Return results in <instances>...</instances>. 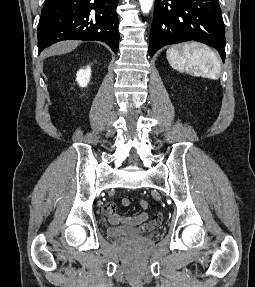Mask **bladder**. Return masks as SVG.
Here are the masks:
<instances>
[{"label": "bladder", "instance_id": "31cf9c89", "mask_svg": "<svg viewBox=\"0 0 255 287\" xmlns=\"http://www.w3.org/2000/svg\"><path fill=\"white\" fill-rule=\"evenodd\" d=\"M146 231L147 229L140 227L116 226L108 229V235L111 237L135 236L144 234Z\"/></svg>", "mask_w": 255, "mask_h": 287}]
</instances>
